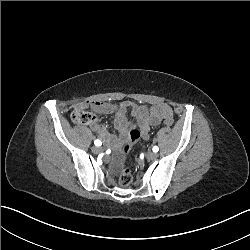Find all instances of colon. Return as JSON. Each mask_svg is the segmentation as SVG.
Instances as JSON below:
<instances>
[{
  "instance_id": "obj_1",
  "label": "colon",
  "mask_w": 250,
  "mask_h": 250,
  "mask_svg": "<svg viewBox=\"0 0 250 250\" xmlns=\"http://www.w3.org/2000/svg\"><path fill=\"white\" fill-rule=\"evenodd\" d=\"M71 119L75 124L78 125H90L94 122L95 117L88 111L86 110H80L76 109L72 112L71 114ZM163 123L165 126H172L173 125V120L170 119L169 117H164L163 118ZM130 137L123 145H122V153L123 154H128L129 149L135 144V142L139 141L140 139V134H141V129L136 127V128H131L130 129ZM133 171L131 170L130 165H125L122 168V172L120 174L119 179L117 180V185L120 188H125L126 186H129L132 181L134 180V175L132 174Z\"/></svg>"
}]
</instances>
